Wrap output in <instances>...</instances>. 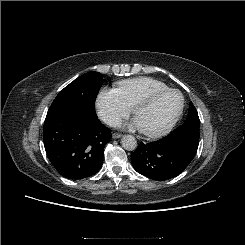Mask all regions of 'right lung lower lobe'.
<instances>
[{
    "label": "right lung lower lobe",
    "instance_id": "right-lung-lower-lobe-1",
    "mask_svg": "<svg viewBox=\"0 0 245 245\" xmlns=\"http://www.w3.org/2000/svg\"><path fill=\"white\" fill-rule=\"evenodd\" d=\"M111 138L97 115L79 109L47 113L44 146L55 169L65 178L79 180L96 174L103 163V151Z\"/></svg>",
    "mask_w": 245,
    "mask_h": 245
}]
</instances>
